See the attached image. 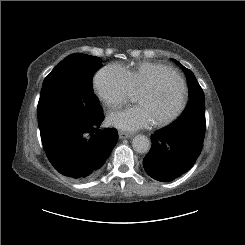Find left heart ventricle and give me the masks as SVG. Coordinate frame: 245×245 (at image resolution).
Returning <instances> with one entry per match:
<instances>
[{
  "label": "left heart ventricle",
  "mask_w": 245,
  "mask_h": 245,
  "mask_svg": "<svg viewBox=\"0 0 245 245\" xmlns=\"http://www.w3.org/2000/svg\"><path fill=\"white\" fill-rule=\"evenodd\" d=\"M155 84L163 86L161 93H139L137 103L147 107L157 121L172 114L181 103L180 87L172 75L159 76Z\"/></svg>",
  "instance_id": "obj_1"
}]
</instances>
